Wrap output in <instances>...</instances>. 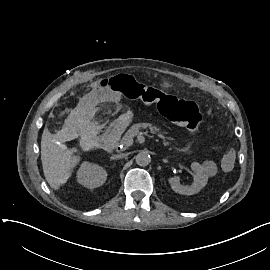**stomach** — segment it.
I'll return each instance as SVG.
<instances>
[{"instance_id":"0dacf381","label":"stomach","mask_w":270,"mask_h":270,"mask_svg":"<svg viewBox=\"0 0 270 270\" xmlns=\"http://www.w3.org/2000/svg\"><path fill=\"white\" fill-rule=\"evenodd\" d=\"M130 122H131V118L125 123V125L129 124Z\"/></svg>"}]
</instances>
